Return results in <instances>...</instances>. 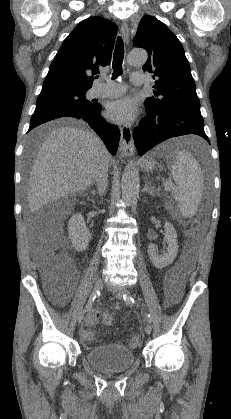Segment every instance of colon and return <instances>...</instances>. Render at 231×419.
<instances>
[{"label":"colon","instance_id":"obj_1","mask_svg":"<svg viewBox=\"0 0 231 419\" xmlns=\"http://www.w3.org/2000/svg\"><path fill=\"white\" fill-rule=\"evenodd\" d=\"M42 271L48 285L52 288L69 289L70 281L74 278L75 272L69 260L60 251L48 252L45 254L42 263ZM102 322L106 326H113L115 318L110 313H104ZM139 340L132 338L131 346H138Z\"/></svg>","mask_w":231,"mask_h":419}]
</instances>
